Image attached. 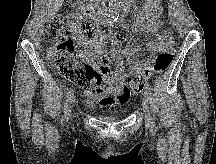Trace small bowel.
Masks as SVG:
<instances>
[{
    "label": "small bowel",
    "instance_id": "1",
    "mask_svg": "<svg viewBox=\"0 0 216 164\" xmlns=\"http://www.w3.org/2000/svg\"><path fill=\"white\" fill-rule=\"evenodd\" d=\"M163 0H145L134 20V29L144 31L156 37L146 45L152 54L168 47V37L160 32ZM77 21L78 27L73 31L77 43L85 49L84 56L92 63L105 67L104 85L96 90L86 91V103L89 107L100 106L115 110L125 105L130 99V81L142 68L150 66L154 59L139 60L136 55L141 47H122V39L114 33H103L92 24H82L77 14L70 15ZM110 41L117 47L106 48ZM124 64L129 71L124 70Z\"/></svg>",
    "mask_w": 216,
    "mask_h": 164
}]
</instances>
